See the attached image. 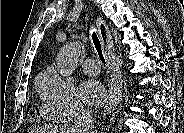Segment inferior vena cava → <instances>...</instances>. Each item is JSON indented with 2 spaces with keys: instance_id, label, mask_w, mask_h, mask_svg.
Instances as JSON below:
<instances>
[{
  "instance_id": "inferior-vena-cava-1",
  "label": "inferior vena cava",
  "mask_w": 184,
  "mask_h": 133,
  "mask_svg": "<svg viewBox=\"0 0 184 133\" xmlns=\"http://www.w3.org/2000/svg\"><path fill=\"white\" fill-rule=\"evenodd\" d=\"M74 133H90L93 125L91 112L83 106H77L75 111Z\"/></svg>"
}]
</instances>
